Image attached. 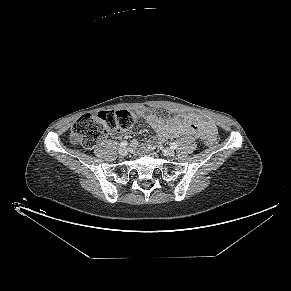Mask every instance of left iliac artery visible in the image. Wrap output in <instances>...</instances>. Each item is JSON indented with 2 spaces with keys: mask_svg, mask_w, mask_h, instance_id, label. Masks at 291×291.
<instances>
[{
  "mask_svg": "<svg viewBox=\"0 0 291 291\" xmlns=\"http://www.w3.org/2000/svg\"><path fill=\"white\" fill-rule=\"evenodd\" d=\"M170 147H171L172 149H176V148L178 147V144L175 143V142H173V143H171Z\"/></svg>",
  "mask_w": 291,
  "mask_h": 291,
  "instance_id": "obj_1",
  "label": "left iliac artery"
}]
</instances>
